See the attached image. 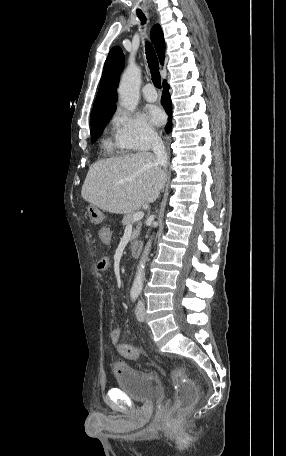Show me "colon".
Wrapping results in <instances>:
<instances>
[{"mask_svg":"<svg viewBox=\"0 0 286 456\" xmlns=\"http://www.w3.org/2000/svg\"><path fill=\"white\" fill-rule=\"evenodd\" d=\"M121 352L125 357L131 359H137L141 355L140 348L127 344L121 348ZM171 383L175 388V405L170 414L175 416L194 405L197 398V388L192 382L186 381L178 369L172 372Z\"/></svg>","mask_w":286,"mask_h":456,"instance_id":"colon-1","label":"colon"}]
</instances>
